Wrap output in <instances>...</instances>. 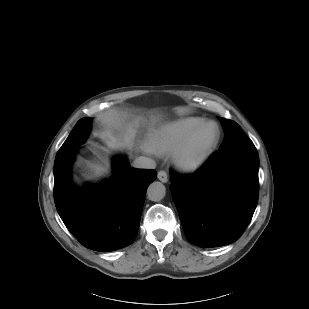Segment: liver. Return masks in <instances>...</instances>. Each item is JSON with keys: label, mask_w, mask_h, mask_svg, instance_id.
<instances>
[{"label": "liver", "mask_w": 309, "mask_h": 309, "mask_svg": "<svg viewBox=\"0 0 309 309\" xmlns=\"http://www.w3.org/2000/svg\"><path fill=\"white\" fill-rule=\"evenodd\" d=\"M143 119L141 117L135 118L131 123H129L125 129L120 133L113 135L110 134L106 141L107 145L111 149H120V148H131L133 146L131 136L134 131V127H137ZM157 118L151 116V121L155 122ZM92 169L94 171V176H100L105 172V168L99 164H93Z\"/></svg>", "instance_id": "liver-1"}]
</instances>
